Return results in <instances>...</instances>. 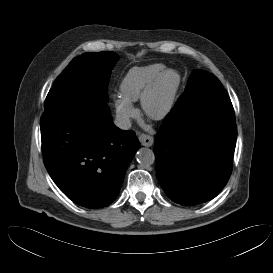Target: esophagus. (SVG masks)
Here are the masks:
<instances>
[{"mask_svg": "<svg viewBox=\"0 0 273 273\" xmlns=\"http://www.w3.org/2000/svg\"><path fill=\"white\" fill-rule=\"evenodd\" d=\"M138 138H139L141 145H143L145 147H151L153 145L154 138L151 135L143 133V134H140L138 136Z\"/></svg>", "mask_w": 273, "mask_h": 273, "instance_id": "1", "label": "esophagus"}]
</instances>
